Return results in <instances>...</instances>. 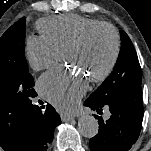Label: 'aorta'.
<instances>
[{"label":"aorta","instance_id":"1","mask_svg":"<svg viewBox=\"0 0 151 151\" xmlns=\"http://www.w3.org/2000/svg\"><path fill=\"white\" fill-rule=\"evenodd\" d=\"M80 134L85 138H92L98 134L99 124L91 115L82 116L78 122Z\"/></svg>","mask_w":151,"mask_h":151}]
</instances>
